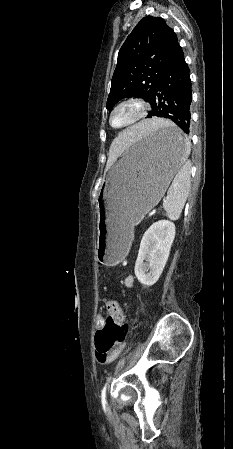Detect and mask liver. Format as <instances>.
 Wrapping results in <instances>:
<instances>
[{"label": "liver", "mask_w": 233, "mask_h": 449, "mask_svg": "<svg viewBox=\"0 0 233 449\" xmlns=\"http://www.w3.org/2000/svg\"><path fill=\"white\" fill-rule=\"evenodd\" d=\"M169 121L160 118H152L143 120L121 133H114L113 142L109 150V164L117 160V158L133 143L141 142V138L153 129L169 124Z\"/></svg>", "instance_id": "liver-1"}]
</instances>
